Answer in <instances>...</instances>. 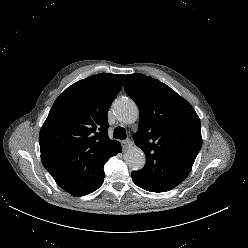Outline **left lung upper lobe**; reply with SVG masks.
Wrapping results in <instances>:
<instances>
[{
	"label": "left lung upper lobe",
	"mask_w": 248,
	"mask_h": 248,
	"mask_svg": "<svg viewBox=\"0 0 248 248\" xmlns=\"http://www.w3.org/2000/svg\"><path fill=\"white\" fill-rule=\"evenodd\" d=\"M124 88L140 111L133 138L146 164L138 172L149 189L169 191L188 176L201 149L200 119L185 99L157 79L129 74Z\"/></svg>",
	"instance_id": "left-lung-upper-lobe-1"
}]
</instances>
